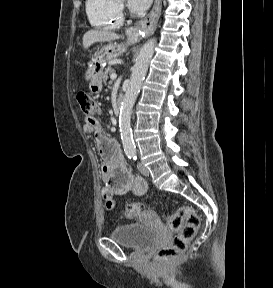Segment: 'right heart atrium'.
I'll return each mask as SVG.
<instances>
[{"mask_svg":"<svg viewBox=\"0 0 273 288\" xmlns=\"http://www.w3.org/2000/svg\"><path fill=\"white\" fill-rule=\"evenodd\" d=\"M121 6V10L123 9V6L122 5H120Z\"/></svg>","mask_w":273,"mask_h":288,"instance_id":"obj_1","label":"right heart atrium"}]
</instances>
